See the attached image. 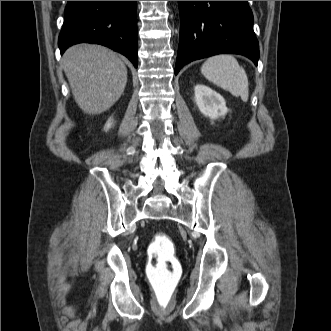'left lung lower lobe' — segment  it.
I'll return each instance as SVG.
<instances>
[{"instance_id": "0a47b994", "label": "left lung lower lobe", "mask_w": 331, "mask_h": 331, "mask_svg": "<svg viewBox=\"0 0 331 331\" xmlns=\"http://www.w3.org/2000/svg\"><path fill=\"white\" fill-rule=\"evenodd\" d=\"M179 9L175 75L191 61L220 53L244 55L258 64L259 45L247 1H179Z\"/></svg>"}]
</instances>
